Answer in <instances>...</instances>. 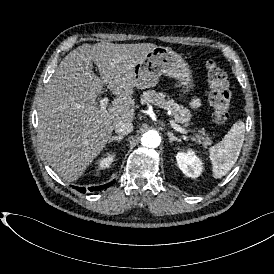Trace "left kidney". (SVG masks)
<instances>
[{
	"label": "left kidney",
	"mask_w": 274,
	"mask_h": 274,
	"mask_svg": "<svg viewBox=\"0 0 274 274\" xmlns=\"http://www.w3.org/2000/svg\"><path fill=\"white\" fill-rule=\"evenodd\" d=\"M177 164L182 172L191 178H196L199 176L202 166L201 163L193 156L192 152L187 154L179 153L177 154Z\"/></svg>",
	"instance_id": "1"
}]
</instances>
